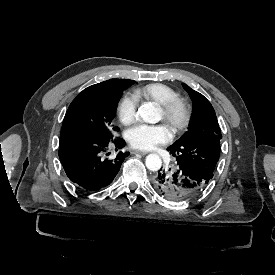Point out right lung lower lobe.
<instances>
[{"instance_id": "1", "label": "right lung lower lobe", "mask_w": 275, "mask_h": 275, "mask_svg": "<svg viewBox=\"0 0 275 275\" xmlns=\"http://www.w3.org/2000/svg\"><path fill=\"white\" fill-rule=\"evenodd\" d=\"M111 144H114L115 150L125 146L121 138L104 141L80 134L61 137L58 153L68 178L85 191L108 186L117 175L124 158L129 155L128 152H120L113 160L105 158L103 154Z\"/></svg>"}]
</instances>
